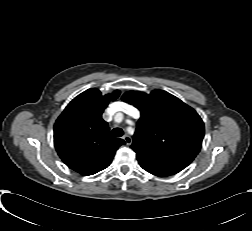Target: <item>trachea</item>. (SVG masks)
<instances>
[{"mask_svg":"<svg viewBox=\"0 0 252 231\" xmlns=\"http://www.w3.org/2000/svg\"><path fill=\"white\" fill-rule=\"evenodd\" d=\"M123 134H124V131L121 128H114L112 130V135L114 137H121V136H123Z\"/></svg>","mask_w":252,"mask_h":231,"instance_id":"3493384b","label":"trachea"}]
</instances>
